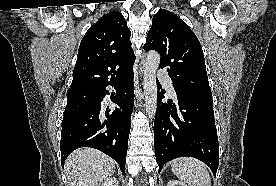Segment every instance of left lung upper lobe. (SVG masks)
<instances>
[{"mask_svg":"<svg viewBox=\"0 0 276 186\" xmlns=\"http://www.w3.org/2000/svg\"><path fill=\"white\" fill-rule=\"evenodd\" d=\"M157 50L176 92L212 96L203 50L194 32L173 12L160 9L152 19L144 50Z\"/></svg>","mask_w":276,"mask_h":186,"instance_id":"left-lung-upper-lobe-1","label":"left lung upper lobe"}]
</instances>
